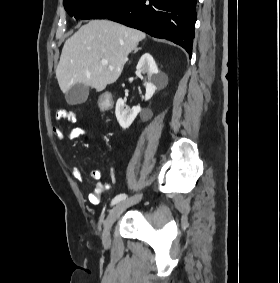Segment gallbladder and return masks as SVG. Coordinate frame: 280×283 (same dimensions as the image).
Masks as SVG:
<instances>
[{"instance_id": "1", "label": "gallbladder", "mask_w": 280, "mask_h": 283, "mask_svg": "<svg viewBox=\"0 0 280 283\" xmlns=\"http://www.w3.org/2000/svg\"><path fill=\"white\" fill-rule=\"evenodd\" d=\"M89 95V87L82 84L77 83L74 84L65 94V98L68 104L76 105L84 103Z\"/></svg>"}]
</instances>
